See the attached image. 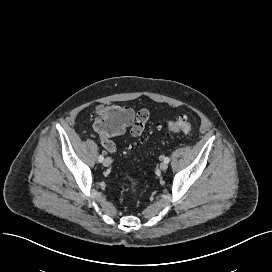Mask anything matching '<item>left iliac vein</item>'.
<instances>
[{
  "label": "left iliac vein",
  "instance_id": "4c4485c4",
  "mask_svg": "<svg viewBox=\"0 0 272 272\" xmlns=\"http://www.w3.org/2000/svg\"><path fill=\"white\" fill-rule=\"evenodd\" d=\"M159 167L160 170L165 171L168 168V164L166 162H161Z\"/></svg>",
  "mask_w": 272,
  "mask_h": 272
}]
</instances>
